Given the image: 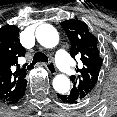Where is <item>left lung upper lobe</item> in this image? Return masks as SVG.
<instances>
[{
  "mask_svg": "<svg viewBox=\"0 0 117 117\" xmlns=\"http://www.w3.org/2000/svg\"><path fill=\"white\" fill-rule=\"evenodd\" d=\"M61 26L71 41V56L79 55L83 64L75 69L78 76L71 77L73 88L70 93L82 101L95 87L103 61L97 48V38L89 32L87 25L78 19L61 22Z\"/></svg>",
  "mask_w": 117,
  "mask_h": 117,
  "instance_id": "5c2ea615",
  "label": "left lung upper lobe"
}]
</instances>
